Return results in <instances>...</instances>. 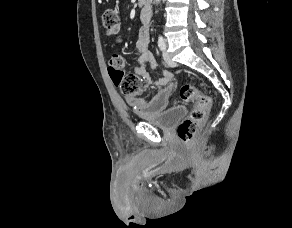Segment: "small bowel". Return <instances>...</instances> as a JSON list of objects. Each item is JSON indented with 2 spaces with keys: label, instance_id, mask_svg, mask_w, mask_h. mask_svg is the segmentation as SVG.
Returning <instances> with one entry per match:
<instances>
[{
  "label": "small bowel",
  "instance_id": "c3829d8e",
  "mask_svg": "<svg viewBox=\"0 0 292 228\" xmlns=\"http://www.w3.org/2000/svg\"><path fill=\"white\" fill-rule=\"evenodd\" d=\"M141 20L143 22V26L139 31V37L136 42L138 65L134 68L133 72L135 75L140 77L142 81L141 92L152 85L159 88V90L151 98L139 96L128 98V103L133 107L135 113L140 117H144L158 115L168 108L169 98L174 89V85L171 82L173 77V73L171 71L163 70L156 73L157 63L153 54L149 50V10L142 11ZM152 74L157 75L156 80L153 79Z\"/></svg>",
  "mask_w": 292,
  "mask_h": 228
}]
</instances>
